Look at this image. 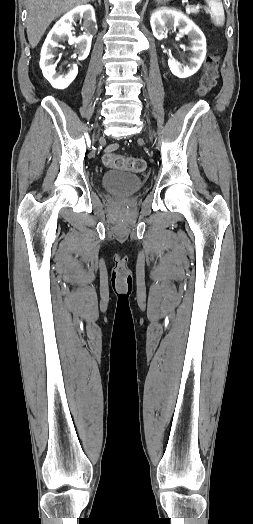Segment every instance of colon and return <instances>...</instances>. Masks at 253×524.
<instances>
[{
  "instance_id": "obj_1",
  "label": "colon",
  "mask_w": 253,
  "mask_h": 524,
  "mask_svg": "<svg viewBox=\"0 0 253 524\" xmlns=\"http://www.w3.org/2000/svg\"><path fill=\"white\" fill-rule=\"evenodd\" d=\"M220 57L214 53L206 61L205 72L200 79L198 91L200 94L209 93L216 85L219 77ZM104 164L116 169L140 173L146 169V162L138 157H124L116 153H106Z\"/></svg>"
}]
</instances>
